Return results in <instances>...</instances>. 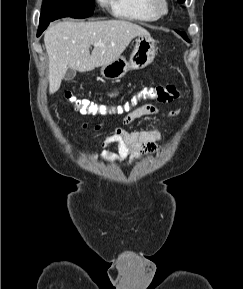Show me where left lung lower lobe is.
Wrapping results in <instances>:
<instances>
[{
  "instance_id": "1",
  "label": "left lung lower lobe",
  "mask_w": 243,
  "mask_h": 289,
  "mask_svg": "<svg viewBox=\"0 0 243 289\" xmlns=\"http://www.w3.org/2000/svg\"><path fill=\"white\" fill-rule=\"evenodd\" d=\"M178 34H180L186 41L189 42V39L187 38L186 34L180 31H176Z\"/></svg>"
}]
</instances>
